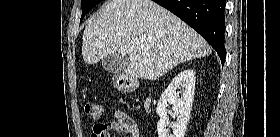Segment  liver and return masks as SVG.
<instances>
[{"instance_id":"1","label":"liver","mask_w":280,"mask_h":137,"mask_svg":"<svg viewBox=\"0 0 280 137\" xmlns=\"http://www.w3.org/2000/svg\"><path fill=\"white\" fill-rule=\"evenodd\" d=\"M115 53L129 56L127 76L156 80L180 63L209 55L211 47L152 0H110L86 25L82 56L95 64Z\"/></svg>"}]
</instances>
